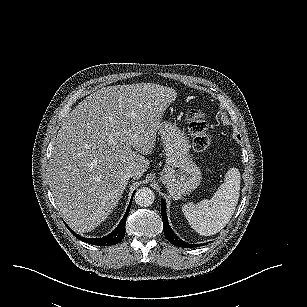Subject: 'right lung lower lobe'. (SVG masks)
Wrapping results in <instances>:
<instances>
[{
  "mask_svg": "<svg viewBox=\"0 0 307 307\" xmlns=\"http://www.w3.org/2000/svg\"><path fill=\"white\" fill-rule=\"evenodd\" d=\"M132 199H133V196L131 198V201L129 203L127 211H126L124 217L122 218V220L120 221V223L118 224V226L114 229V231H112L110 234H108L105 237H102V238H84V237L79 236L75 232H73L67 225L66 226L72 234H74L79 240H81L83 242L93 244V245H97V246H110V245L118 244L125 236V221H126V218L128 216V212H129L130 207H131Z\"/></svg>",
  "mask_w": 307,
  "mask_h": 307,
  "instance_id": "1",
  "label": "right lung lower lobe"
}]
</instances>
